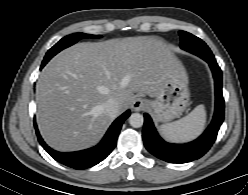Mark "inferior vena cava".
Wrapping results in <instances>:
<instances>
[{
    "mask_svg": "<svg viewBox=\"0 0 248 195\" xmlns=\"http://www.w3.org/2000/svg\"><path fill=\"white\" fill-rule=\"evenodd\" d=\"M118 111L119 105L115 99H108L103 104V112L110 117H116L118 115Z\"/></svg>",
    "mask_w": 248,
    "mask_h": 195,
    "instance_id": "602c4592",
    "label": "inferior vena cava"
}]
</instances>
